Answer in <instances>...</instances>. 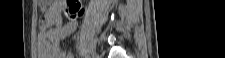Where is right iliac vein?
Instances as JSON below:
<instances>
[{
  "mask_svg": "<svg viewBox=\"0 0 225 58\" xmlns=\"http://www.w3.org/2000/svg\"><path fill=\"white\" fill-rule=\"evenodd\" d=\"M93 57H95V58H96V54H94V55H93Z\"/></svg>",
  "mask_w": 225,
  "mask_h": 58,
  "instance_id": "1",
  "label": "right iliac vein"
}]
</instances>
